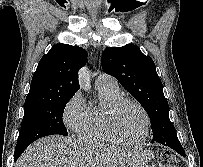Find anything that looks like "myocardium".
<instances>
[{
	"label": "myocardium",
	"mask_w": 203,
	"mask_h": 167,
	"mask_svg": "<svg viewBox=\"0 0 203 167\" xmlns=\"http://www.w3.org/2000/svg\"><path fill=\"white\" fill-rule=\"evenodd\" d=\"M126 104H131V105L137 107L140 110V112L142 113L143 118H144L143 134L140 138H138L136 140H126V139L122 138L116 130V125H115L116 117H117L120 109ZM104 126H105V129H106V132L108 133V135L113 140H115L117 143L128 145V146H136V145L143 143L146 140V138L148 137V134L150 131V116H149L147 110L144 108V106L142 104H140L138 101L125 97V96H122V97L117 98L113 102L111 108L109 109V111L107 112V114L105 116Z\"/></svg>",
	"instance_id": "myocardium-1"
}]
</instances>
